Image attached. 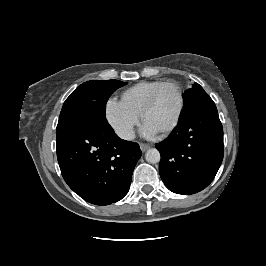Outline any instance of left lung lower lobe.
I'll return each instance as SVG.
<instances>
[{
  "label": "left lung lower lobe",
  "instance_id": "obj_1",
  "mask_svg": "<svg viewBox=\"0 0 266 266\" xmlns=\"http://www.w3.org/2000/svg\"><path fill=\"white\" fill-rule=\"evenodd\" d=\"M156 148L161 154L159 173L169 190L188 195L206 188L224 154L223 128L210 96L186 109L176 129Z\"/></svg>",
  "mask_w": 266,
  "mask_h": 266
}]
</instances>
